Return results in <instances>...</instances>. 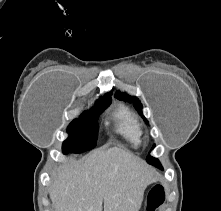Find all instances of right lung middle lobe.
Masks as SVG:
<instances>
[{
    "label": "right lung middle lobe",
    "mask_w": 221,
    "mask_h": 211,
    "mask_svg": "<svg viewBox=\"0 0 221 211\" xmlns=\"http://www.w3.org/2000/svg\"><path fill=\"white\" fill-rule=\"evenodd\" d=\"M111 103L110 97H101L95 107L84 112L80 118L73 120L68 126L69 137L64 141L62 151L82 153L96 146L99 114Z\"/></svg>",
    "instance_id": "right-lung-middle-lobe-1"
}]
</instances>
